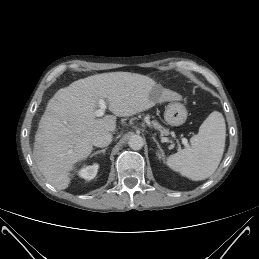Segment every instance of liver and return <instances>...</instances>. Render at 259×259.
<instances>
[{"instance_id": "1", "label": "liver", "mask_w": 259, "mask_h": 259, "mask_svg": "<svg viewBox=\"0 0 259 259\" xmlns=\"http://www.w3.org/2000/svg\"><path fill=\"white\" fill-rule=\"evenodd\" d=\"M155 87L148 76L111 72L79 79L58 90L41 117L33 150L47 182L58 190L66 189L74 164L90 155L97 135L115 132L117 116H132L156 103L182 99L167 89L156 92ZM100 99L107 101L115 116H95Z\"/></svg>"}]
</instances>
